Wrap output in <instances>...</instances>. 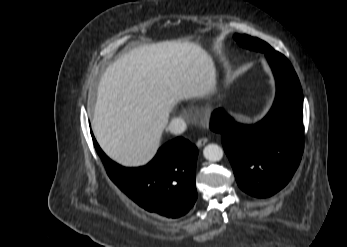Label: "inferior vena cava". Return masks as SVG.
<instances>
[{"mask_svg": "<svg viewBox=\"0 0 347 247\" xmlns=\"http://www.w3.org/2000/svg\"><path fill=\"white\" fill-rule=\"evenodd\" d=\"M186 128V122L182 118L175 117L170 121L167 130L172 134L180 135L186 130Z\"/></svg>", "mask_w": 347, "mask_h": 247, "instance_id": "inferior-vena-cava-1", "label": "inferior vena cava"}]
</instances>
